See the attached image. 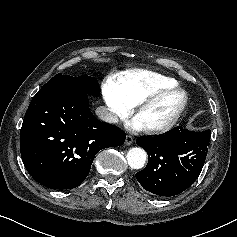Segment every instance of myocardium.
Returning a JSON list of instances; mask_svg holds the SVG:
<instances>
[{"label": "myocardium", "mask_w": 237, "mask_h": 237, "mask_svg": "<svg viewBox=\"0 0 237 237\" xmlns=\"http://www.w3.org/2000/svg\"><path fill=\"white\" fill-rule=\"evenodd\" d=\"M175 93L182 95V100H181L178 108L176 109V111L172 114V116L166 122L159 124V125H151V126L144 127V130L146 132L161 133V132H166V131L170 130L177 123V121L183 114L184 110L186 109L188 101H189L188 94L184 89H182L180 87H177V86L168 87V88H164V89H161V90L155 92L154 94L143 99L142 101H140L138 104L135 105L134 114H135V116H137L144 109L156 104L164 97L171 95V94H175Z\"/></svg>", "instance_id": "obj_1"}]
</instances>
